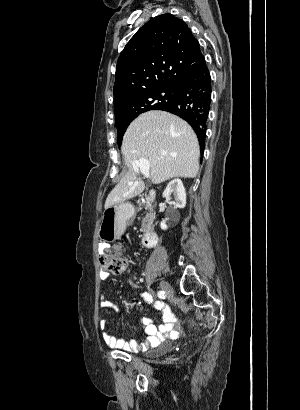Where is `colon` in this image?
Wrapping results in <instances>:
<instances>
[{
  "label": "colon",
  "mask_w": 300,
  "mask_h": 410,
  "mask_svg": "<svg viewBox=\"0 0 300 410\" xmlns=\"http://www.w3.org/2000/svg\"><path fill=\"white\" fill-rule=\"evenodd\" d=\"M131 259L117 256L114 254H101L99 257L100 267L103 271L115 274L124 273L130 263Z\"/></svg>",
  "instance_id": "colon-1"
}]
</instances>
